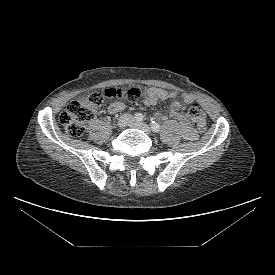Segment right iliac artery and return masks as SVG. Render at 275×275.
Returning a JSON list of instances; mask_svg holds the SVG:
<instances>
[{"label": "right iliac artery", "instance_id": "right-iliac-artery-1", "mask_svg": "<svg viewBox=\"0 0 275 275\" xmlns=\"http://www.w3.org/2000/svg\"><path fill=\"white\" fill-rule=\"evenodd\" d=\"M143 118H144V116H143L141 113H136L135 116H134V119H135L137 122L143 121Z\"/></svg>", "mask_w": 275, "mask_h": 275}]
</instances>
